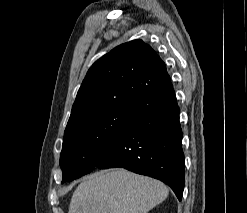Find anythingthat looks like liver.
<instances>
[{"label":"liver","mask_w":247,"mask_h":213,"mask_svg":"<svg viewBox=\"0 0 247 213\" xmlns=\"http://www.w3.org/2000/svg\"><path fill=\"white\" fill-rule=\"evenodd\" d=\"M169 190L162 182L123 168L96 172L74 191L68 213H147Z\"/></svg>","instance_id":"obj_1"}]
</instances>
